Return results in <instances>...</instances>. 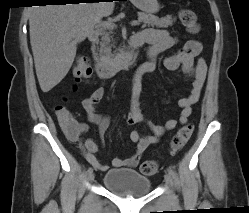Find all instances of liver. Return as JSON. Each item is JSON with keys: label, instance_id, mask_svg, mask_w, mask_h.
I'll list each match as a JSON object with an SVG mask.
<instances>
[{"label": "liver", "instance_id": "1", "mask_svg": "<svg viewBox=\"0 0 249 213\" xmlns=\"http://www.w3.org/2000/svg\"><path fill=\"white\" fill-rule=\"evenodd\" d=\"M113 2L33 6L30 43L40 88L48 92L69 72L77 44L90 35L103 17L112 14Z\"/></svg>", "mask_w": 249, "mask_h": 213}]
</instances>
